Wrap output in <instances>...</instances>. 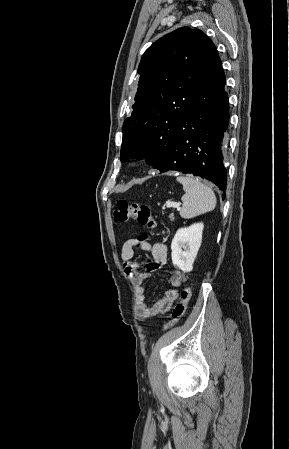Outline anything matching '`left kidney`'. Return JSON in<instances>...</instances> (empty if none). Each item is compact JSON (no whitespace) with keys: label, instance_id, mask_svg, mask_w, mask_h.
Returning <instances> with one entry per match:
<instances>
[{"label":"left kidney","instance_id":"obj_1","mask_svg":"<svg viewBox=\"0 0 289 449\" xmlns=\"http://www.w3.org/2000/svg\"><path fill=\"white\" fill-rule=\"evenodd\" d=\"M203 223L180 228L171 243L172 263L183 272H190L202 242Z\"/></svg>","mask_w":289,"mask_h":449}]
</instances>
